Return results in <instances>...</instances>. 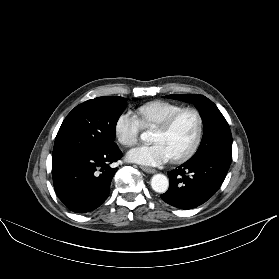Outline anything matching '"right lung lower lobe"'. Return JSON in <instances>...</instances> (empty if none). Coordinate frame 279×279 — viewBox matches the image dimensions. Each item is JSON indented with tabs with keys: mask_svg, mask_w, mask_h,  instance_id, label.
<instances>
[{
	"mask_svg": "<svg viewBox=\"0 0 279 279\" xmlns=\"http://www.w3.org/2000/svg\"><path fill=\"white\" fill-rule=\"evenodd\" d=\"M121 157L116 144L99 153L53 155L52 177L58 198L75 213L96 209L110 193L109 186L116 173L111 164Z\"/></svg>",
	"mask_w": 279,
	"mask_h": 279,
	"instance_id": "right-lung-lower-lobe-1",
	"label": "right lung lower lobe"
}]
</instances>
